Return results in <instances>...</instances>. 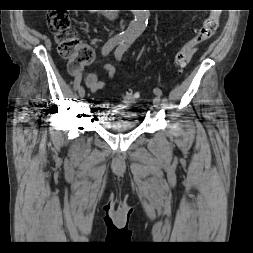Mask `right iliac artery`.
<instances>
[{
	"label": "right iliac artery",
	"instance_id": "obj_1",
	"mask_svg": "<svg viewBox=\"0 0 253 253\" xmlns=\"http://www.w3.org/2000/svg\"><path fill=\"white\" fill-rule=\"evenodd\" d=\"M123 37L122 36H115L111 39H109L103 46L102 48V54L104 56H107L111 51L112 49L117 46L119 43L123 42ZM81 77H82V74L81 73H78L77 76L74 77V88L75 89H78L79 86H80V82H81Z\"/></svg>",
	"mask_w": 253,
	"mask_h": 253
}]
</instances>
